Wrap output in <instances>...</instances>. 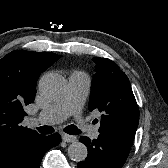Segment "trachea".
<instances>
[{
  "label": "trachea",
  "mask_w": 168,
  "mask_h": 168,
  "mask_svg": "<svg viewBox=\"0 0 168 168\" xmlns=\"http://www.w3.org/2000/svg\"><path fill=\"white\" fill-rule=\"evenodd\" d=\"M37 130L42 134H51L54 132V129L50 126H41ZM64 131L70 135H78L81 131L75 125H69L64 128Z\"/></svg>",
  "instance_id": "trachea-1"
}]
</instances>
